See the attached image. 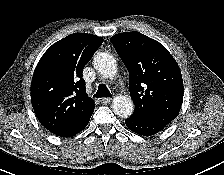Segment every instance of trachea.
<instances>
[{
  "label": "trachea",
  "instance_id": "obj_1",
  "mask_svg": "<svg viewBox=\"0 0 224 175\" xmlns=\"http://www.w3.org/2000/svg\"><path fill=\"white\" fill-rule=\"evenodd\" d=\"M94 97H97V98L111 97V94H110L108 88L104 84H99L98 90L95 93Z\"/></svg>",
  "mask_w": 224,
  "mask_h": 175
}]
</instances>
